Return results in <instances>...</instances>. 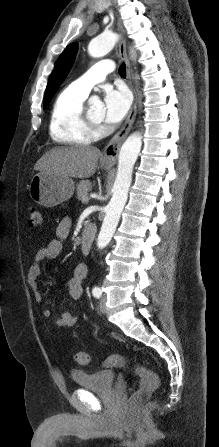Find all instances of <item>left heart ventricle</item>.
<instances>
[{
    "mask_svg": "<svg viewBox=\"0 0 219 447\" xmlns=\"http://www.w3.org/2000/svg\"><path fill=\"white\" fill-rule=\"evenodd\" d=\"M91 117L96 121H102L104 117V109L102 105H93L89 107Z\"/></svg>",
    "mask_w": 219,
    "mask_h": 447,
    "instance_id": "obj_1",
    "label": "left heart ventricle"
}]
</instances>
